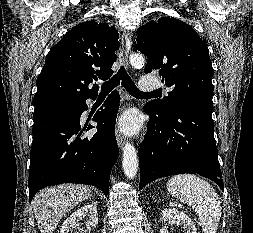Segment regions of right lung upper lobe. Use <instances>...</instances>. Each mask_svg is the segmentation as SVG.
<instances>
[{
	"label": "right lung upper lobe",
	"instance_id": "obj_1",
	"mask_svg": "<svg viewBox=\"0 0 253 233\" xmlns=\"http://www.w3.org/2000/svg\"><path fill=\"white\" fill-rule=\"evenodd\" d=\"M118 32L108 23L91 20L72 28L52 47L39 74L34 105L52 100H80L97 95L89 84L113 74L119 49Z\"/></svg>",
	"mask_w": 253,
	"mask_h": 233
}]
</instances>
